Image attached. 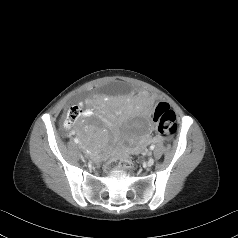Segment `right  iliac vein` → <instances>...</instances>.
<instances>
[{"mask_svg": "<svg viewBox=\"0 0 238 238\" xmlns=\"http://www.w3.org/2000/svg\"><path fill=\"white\" fill-rule=\"evenodd\" d=\"M80 157H81V161H82V162H85V159H84L83 154H80Z\"/></svg>", "mask_w": 238, "mask_h": 238, "instance_id": "1", "label": "right iliac vein"}]
</instances>
